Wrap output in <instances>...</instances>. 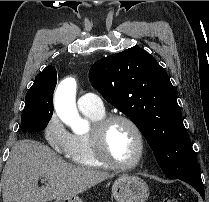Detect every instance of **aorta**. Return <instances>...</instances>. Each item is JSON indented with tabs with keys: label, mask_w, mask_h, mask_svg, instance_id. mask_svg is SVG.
Segmentation results:
<instances>
[{
	"label": "aorta",
	"mask_w": 209,
	"mask_h": 202,
	"mask_svg": "<svg viewBox=\"0 0 209 202\" xmlns=\"http://www.w3.org/2000/svg\"><path fill=\"white\" fill-rule=\"evenodd\" d=\"M77 83L72 77L64 79L55 92V109L60 119L76 132H85L88 121L81 118L76 109Z\"/></svg>",
	"instance_id": "1"
}]
</instances>
